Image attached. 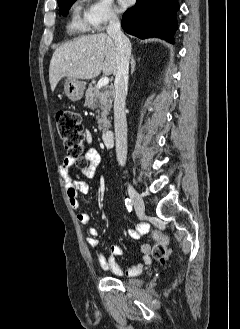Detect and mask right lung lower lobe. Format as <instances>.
<instances>
[{
  "label": "right lung lower lobe",
  "instance_id": "1",
  "mask_svg": "<svg viewBox=\"0 0 240 329\" xmlns=\"http://www.w3.org/2000/svg\"><path fill=\"white\" fill-rule=\"evenodd\" d=\"M178 9V0H137L125 12L122 27L128 34L141 39L159 37L173 42Z\"/></svg>",
  "mask_w": 240,
  "mask_h": 329
}]
</instances>
